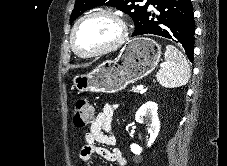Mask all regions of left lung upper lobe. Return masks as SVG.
I'll return each instance as SVG.
<instances>
[{
    "label": "left lung upper lobe",
    "mask_w": 227,
    "mask_h": 166,
    "mask_svg": "<svg viewBox=\"0 0 227 166\" xmlns=\"http://www.w3.org/2000/svg\"><path fill=\"white\" fill-rule=\"evenodd\" d=\"M138 1L139 0H76L74 9L70 17V23H72L82 13H84L85 11L95 6L108 5V6H114L119 10L127 13L135 23V32H136L139 29L142 23V20L147 12L146 4L144 6L135 5V2H138Z\"/></svg>",
    "instance_id": "1"
}]
</instances>
